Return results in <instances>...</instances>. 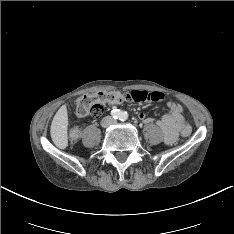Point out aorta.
<instances>
[{
	"label": "aorta",
	"instance_id": "1",
	"mask_svg": "<svg viewBox=\"0 0 234 234\" xmlns=\"http://www.w3.org/2000/svg\"><path fill=\"white\" fill-rule=\"evenodd\" d=\"M126 117H127V114L124 113V112H122L121 115H120V118L124 119V118H126Z\"/></svg>",
	"mask_w": 234,
	"mask_h": 234
}]
</instances>
